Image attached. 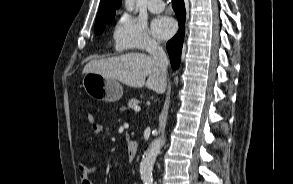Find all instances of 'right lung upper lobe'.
Listing matches in <instances>:
<instances>
[{
  "label": "right lung upper lobe",
  "mask_w": 293,
  "mask_h": 184,
  "mask_svg": "<svg viewBox=\"0 0 293 184\" xmlns=\"http://www.w3.org/2000/svg\"><path fill=\"white\" fill-rule=\"evenodd\" d=\"M120 6L121 0H101L95 26L111 22Z\"/></svg>",
  "instance_id": "obj_1"
}]
</instances>
